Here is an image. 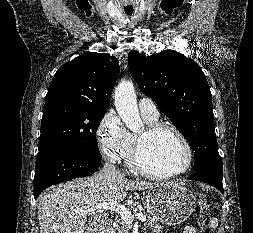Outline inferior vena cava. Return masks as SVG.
Instances as JSON below:
<instances>
[{
	"mask_svg": "<svg viewBox=\"0 0 253 233\" xmlns=\"http://www.w3.org/2000/svg\"><path fill=\"white\" fill-rule=\"evenodd\" d=\"M101 173L110 174V175H121V173L116 169V167L109 162H106L104 164V167L101 170Z\"/></svg>",
	"mask_w": 253,
	"mask_h": 233,
	"instance_id": "inferior-vena-cava-1",
	"label": "inferior vena cava"
}]
</instances>
